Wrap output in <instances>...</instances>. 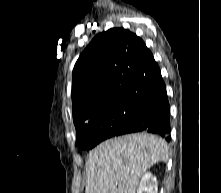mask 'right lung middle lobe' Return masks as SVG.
<instances>
[{
	"mask_svg": "<svg viewBox=\"0 0 221 193\" xmlns=\"http://www.w3.org/2000/svg\"><path fill=\"white\" fill-rule=\"evenodd\" d=\"M145 109L144 99L127 98L107 104L77 125V143L88 150L132 123Z\"/></svg>",
	"mask_w": 221,
	"mask_h": 193,
	"instance_id": "dd1d6c3e",
	"label": "right lung middle lobe"
}]
</instances>
